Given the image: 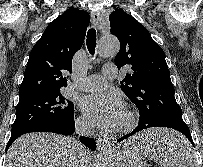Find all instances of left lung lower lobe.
Returning a JSON list of instances; mask_svg holds the SVG:
<instances>
[{
    "mask_svg": "<svg viewBox=\"0 0 203 167\" xmlns=\"http://www.w3.org/2000/svg\"><path fill=\"white\" fill-rule=\"evenodd\" d=\"M151 127H168V128L175 129V130L179 131L180 133H182L190 141V143L194 146L193 140H192V137L190 134V130L183 121H172V122H162V123L149 124V125H138L131 133L118 139L117 142H120V141L124 140L125 138H127L143 129H147V128H151ZM185 141L188 142L187 140H185ZM148 144L150 145V143H147V141H145V142H140V143L136 144V146L137 147H141V146L146 147V146H148Z\"/></svg>",
    "mask_w": 203,
    "mask_h": 167,
    "instance_id": "1",
    "label": "left lung lower lobe"
}]
</instances>
